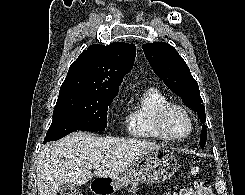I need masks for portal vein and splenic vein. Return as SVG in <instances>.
<instances>
[{"instance_id":"obj_1","label":"portal vein and splenic vein","mask_w":245,"mask_h":195,"mask_svg":"<svg viewBox=\"0 0 245 195\" xmlns=\"http://www.w3.org/2000/svg\"><path fill=\"white\" fill-rule=\"evenodd\" d=\"M100 165H93L92 168H99Z\"/></svg>"}]
</instances>
